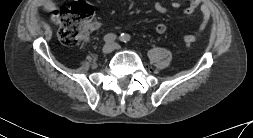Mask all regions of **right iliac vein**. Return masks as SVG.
Wrapping results in <instances>:
<instances>
[{
	"instance_id": "1",
	"label": "right iliac vein",
	"mask_w": 253,
	"mask_h": 138,
	"mask_svg": "<svg viewBox=\"0 0 253 138\" xmlns=\"http://www.w3.org/2000/svg\"><path fill=\"white\" fill-rule=\"evenodd\" d=\"M114 50V45L112 43H106L102 48V53L105 55L110 54Z\"/></svg>"
}]
</instances>
